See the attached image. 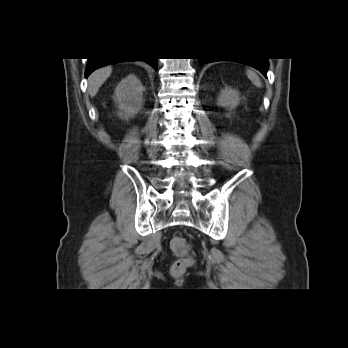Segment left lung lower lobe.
<instances>
[{
    "mask_svg": "<svg viewBox=\"0 0 348 348\" xmlns=\"http://www.w3.org/2000/svg\"><path fill=\"white\" fill-rule=\"evenodd\" d=\"M230 61H236L240 63H244L250 65L256 69H258L265 77H267V69H268V60L267 59H225ZM217 61V59H206L200 58L199 64L202 65L204 63Z\"/></svg>",
    "mask_w": 348,
    "mask_h": 348,
    "instance_id": "obj_1",
    "label": "left lung lower lobe"
}]
</instances>
